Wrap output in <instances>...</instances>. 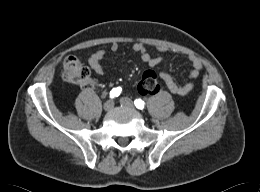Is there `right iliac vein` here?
<instances>
[{"label":"right iliac vein","instance_id":"1","mask_svg":"<svg viewBox=\"0 0 260 192\" xmlns=\"http://www.w3.org/2000/svg\"><path fill=\"white\" fill-rule=\"evenodd\" d=\"M114 107V101L113 100H108L105 104H104V110L105 111H111Z\"/></svg>","mask_w":260,"mask_h":192}]
</instances>
